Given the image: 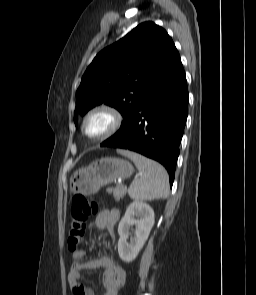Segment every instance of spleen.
<instances>
[{
	"instance_id": "1",
	"label": "spleen",
	"mask_w": 256,
	"mask_h": 295,
	"mask_svg": "<svg viewBox=\"0 0 256 295\" xmlns=\"http://www.w3.org/2000/svg\"><path fill=\"white\" fill-rule=\"evenodd\" d=\"M130 158L138 168L140 177L128 188L129 196L135 200L165 199L169 194V178L159 163L131 151H119Z\"/></svg>"
}]
</instances>
